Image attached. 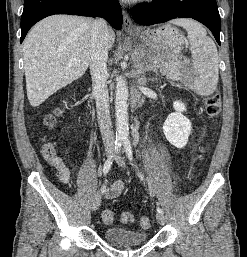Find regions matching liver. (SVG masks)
Listing matches in <instances>:
<instances>
[{
	"label": "liver",
	"mask_w": 247,
	"mask_h": 257,
	"mask_svg": "<svg viewBox=\"0 0 247 257\" xmlns=\"http://www.w3.org/2000/svg\"><path fill=\"white\" fill-rule=\"evenodd\" d=\"M93 20L72 15H52L38 22L23 43L27 97L32 107L79 79L92 53ZM109 48L115 33L109 28ZM75 60V61H72Z\"/></svg>",
	"instance_id": "6515ba94"
}]
</instances>
